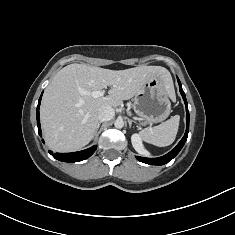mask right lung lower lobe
Wrapping results in <instances>:
<instances>
[{"instance_id":"right-lung-lower-lobe-1","label":"right lung lower lobe","mask_w":235,"mask_h":235,"mask_svg":"<svg viewBox=\"0 0 235 235\" xmlns=\"http://www.w3.org/2000/svg\"><path fill=\"white\" fill-rule=\"evenodd\" d=\"M41 97L38 102L37 106V126H38V133L41 136V127H40V117H39V106L41 102ZM44 142V141H43ZM97 146H92L86 150L79 151V152H72V153H55L53 154V157L57 160L63 161V162H79L82 160L87 159L90 157L96 150ZM50 154H52V151H49Z\"/></svg>"}]
</instances>
